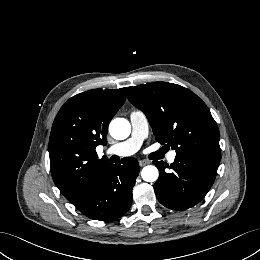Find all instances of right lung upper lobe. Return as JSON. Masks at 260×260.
Masks as SVG:
<instances>
[{"label":"right lung upper lobe","mask_w":260,"mask_h":260,"mask_svg":"<svg viewBox=\"0 0 260 260\" xmlns=\"http://www.w3.org/2000/svg\"><path fill=\"white\" fill-rule=\"evenodd\" d=\"M125 100L126 88L93 89L70 98L58 112L49 141L51 173L73 204L110 164L95 148L107 143L109 122Z\"/></svg>","instance_id":"1"}]
</instances>
